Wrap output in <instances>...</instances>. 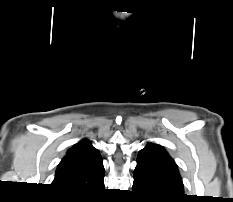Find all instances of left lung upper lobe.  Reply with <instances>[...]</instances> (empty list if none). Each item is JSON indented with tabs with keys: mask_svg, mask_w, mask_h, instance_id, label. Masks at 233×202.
Listing matches in <instances>:
<instances>
[{
	"mask_svg": "<svg viewBox=\"0 0 233 202\" xmlns=\"http://www.w3.org/2000/svg\"><path fill=\"white\" fill-rule=\"evenodd\" d=\"M134 178L158 197H184L178 167L158 144L149 143L139 152Z\"/></svg>",
	"mask_w": 233,
	"mask_h": 202,
	"instance_id": "1",
	"label": "left lung upper lobe"
}]
</instances>
